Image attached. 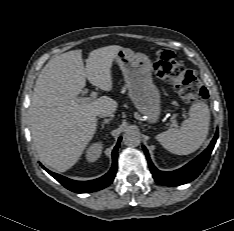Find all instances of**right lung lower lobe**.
<instances>
[{"instance_id": "right-lung-lower-lobe-1", "label": "right lung lower lobe", "mask_w": 234, "mask_h": 231, "mask_svg": "<svg viewBox=\"0 0 234 231\" xmlns=\"http://www.w3.org/2000/svg\"><path fill=\"white\" fill-rule=\"evenodd\" d=\"M121 138H119L117 145L115 146L113 152H112V158L113 163L110 171L105 174L104 176L90 181H75L69 178H66L64 176H61L59 174L53 173L49 171L48 169L43 168L51 175L53 176L58 182H60L64 187L67 189L76 192V193H89L101 190L108 185L112 183L114 180V177L116 175L117 170V150L120 146Z\"/></svg>"}]
</instances>
